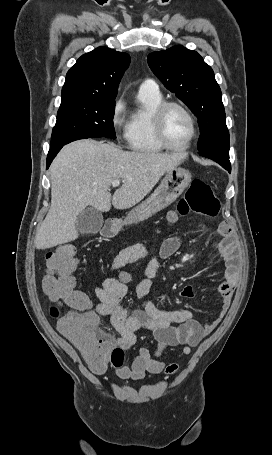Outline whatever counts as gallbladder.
I'll use <instances>...</instances> for the list:
<instances>
[{
  "instance_id": "gallbladder-1",
  "label": "gallbladder",
  "mask_w": 272,
  "mask_h": 455,
  "mask_svg": "<svg viewBox=\"0 0 272 455\" xmlns=\"http://www.w3.org/2000/svg\"><path fill=\"white\" fill-rule=\"evenodd\" d=\"M103 224L101 213L94 208L84 209L75 222L76 229L82 234L97 233Z\"/></svg>"
}]
</instances>
